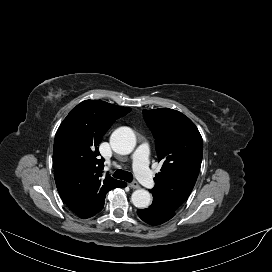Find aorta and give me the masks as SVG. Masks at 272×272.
I'll use <instances>...</instances> for the list:
<instances>
[{
	"label": "aorta",
	"instance_id": "1",
	"mask_svg": "<svg viewBox=\"0 0 272 272\" xmlns=\"http://www.w3.org/2000/svg\"><path fill=\"white\" fill-rule=\"evenodd\" d=\"M110 145L114 152L120 155L130 154L135 145L136 137L128 127L117 128L110 137ZM131 201L137 208H147L151 203V195L147 190L138 189L132 193Z\"/></svg>",
	"mask_w": 272,
	"mask_h": 272
}]
</instances>
